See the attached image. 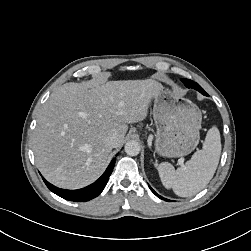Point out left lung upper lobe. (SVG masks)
Instances as JSON below:
<instances>
[{
    "instance_id": "left-lung-upper-lobe-1",
    "label": "left lung upper lobe",
    "mask_w": 251,
    "mask_h": 251,
    "mask_svg": "<svg viewBox=\"0 0 251 251\" xmlns=\"http://www.w3.org/2000/svg\"><path fill=\"white\" fill-rule=\"evenodd\" d=\"M181 81L184 83V85L187 87V88H193L197 91H199L200 93H202L203 95H208L204 89L196 82L192 81V80H189V79H181Z\"/></svg>"
}]
</instances>
